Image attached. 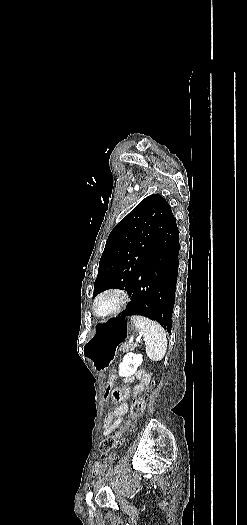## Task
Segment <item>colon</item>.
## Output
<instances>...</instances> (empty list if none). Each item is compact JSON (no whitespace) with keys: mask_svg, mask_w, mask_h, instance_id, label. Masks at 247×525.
I'll use <instances>...</instances> for the list:
<instances>
[{"mask_svg":"<svg viewBox=\"0 0 247 525\" xmlns=\"http://www.w3.org/2000/svg\"><path fill=\"white\" fill-rule=\"evenodd\" d=\"M117 376H118V373L115 370L110 371L109 375L107 376V378H106L107 382L105 383V385L103 387L104 398L111 397L112 392L114 390L113 384L116 383ZM143 406H144V399L142 397H139L135 401V403L133 404V407H132V416L134 418L138 417L141 414V412L143 410ZM121 439H122V434L121 433H116L114 435H111V436L105 438L101 442L100 450H101V453H102L104 458L107 457L109 452L120 443Z\"/></svg>","mask_w":247,"mask_h":525,"instance_id":"5ec220e1","label":"colon"}]
</instances>
